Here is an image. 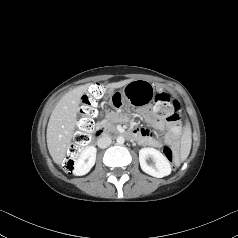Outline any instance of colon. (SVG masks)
<instances>
[{
  "label": "colon",
  "mask_w": 238,
  "mask_h": 238,
  "mask_svg": "<svg viewBox=\"0 0 238 238\" xmlns=\"http://www.w3.org/2000/svg\"><path fill=\"white\" fill-rule=\"evenodd\" d=\"M105 88L101 84H95L90 87L89 91L82 97L80 105L81 118L77 123V131L73 136V141L68 149L67 157L64 161L66 171L73 170L75 158L81 152L83 147L90 141L91 133L94 128L93 118L97 113L98 100L103 96ZM180 104L173 99L168 93H159L155 97L153 112L166 119L169 122H176L179 119ZM163 154L171 162L174 163V151L171 146L163 147Z\"/></svg>",
  "instance_id": "obj_1"
}]
</instances>
